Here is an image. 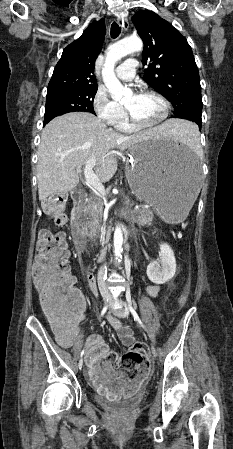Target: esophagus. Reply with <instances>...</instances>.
Returning <instances> with one entry per match:
<instances>
[{
  "label": "esophagus",
  "instance_id": "esophagus-1",
  "mask_svg": "<svg viewBox=\"0 0 233 449\" xmlns=\"http://www.w3.org/2000/svg\"><path fill=\"white\" fill-rule=\"evenodd\" d=\"M117 23L119 26H121L125 31L128 30L129 28V23L128 20L126 18H122V17H118L117 18Z\"/></svg>",
  "mask_w": 233,
  "mask_h": 449
}]
</instances>
